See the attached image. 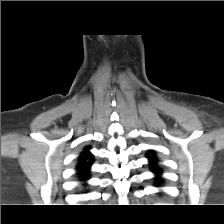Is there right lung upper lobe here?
I'll list each match as a JSON object with an SVG mask.
<instances>
[{
    "label": "right lung upper lobe",
    "mask_w": 224,
    "mask_h": 224,
    "mask_svg": "<svg viewBox=\"0 0 224 224\" xmlns=\"http://www.w3.org/2000/svg\"><path fill=\"white\" fill-rule=\"evenodd\" d=\"M90 147H85L84 151L79 157V163L76 167L77 174L80 175V180L85 182L89 179L88 171L93 162V156L89 152Z\"/></svg>",
    "instance_id": "right-lung-upper-lobe-1"
}]
</instances>
